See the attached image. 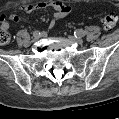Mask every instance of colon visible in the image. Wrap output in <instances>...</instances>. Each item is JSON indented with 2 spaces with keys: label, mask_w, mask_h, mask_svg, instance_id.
Instances as JSON below:
<instances>
[{
  "label": "colon",
  "mask_w": 119,
  "mask_h": 119,
  "mask_svg": "<svg viewBox=\"0 0 119 119\" xmlns=\"http://www.w3.org/2000/svg\"><path fill=\"white\" fill-rule=\"evenodd\" d=\"M118 21V17L115 13H108L102 18V24L105 29H113ZM10 33L7 29L2 26L0 28V44H7L10 41Z\"/></svg>",
  "instance_id": "obj_1"
}]
</instances>
